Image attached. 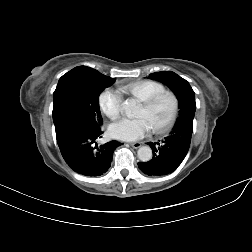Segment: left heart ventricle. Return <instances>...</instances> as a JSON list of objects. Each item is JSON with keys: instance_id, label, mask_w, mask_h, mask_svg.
Wrapping results in <instances>:
<instances>
[{"instance_id": "b2bd125f", "label": "left heart ventricle", "mask_w": 252, "mask_h": 252, "mask_svg": "<svg viewBox=\"0 0 252 252\" xmlns=\"http://www.w3.org/2000/svg\"><path fill=\"white\" fill-rule=\"evenodd\" d=\"M172 109V98L165 95L150 108H145L141 105L136 113V116L144 118L149 126V129L153 130L161 128L168 121L172 113Z\"/></svg>"}]
</instances>
